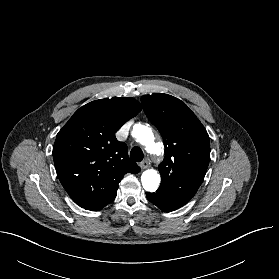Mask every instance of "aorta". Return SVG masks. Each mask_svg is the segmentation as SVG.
<instances>
[{
  "mask_svg": "<svg viewBox=\"0 0 279 279\" xmlns=\"http://www.w3.org/2000/svg\"><path fill=\"white\" fill-rule=\"evenodd\" d=\"M133 136L139 143L144 145L149 152H154L157 148L155 137L152 130L144 125H136L133 130ZM160 175L156 170H146L141 175L143 188L148 192H154L160 185Z\"/></svg>",
  "mask_w": 279,
  "mask_h": 279,
  "instance_id": "obj_1",
  "label": "aorta"
}]
</instances>
